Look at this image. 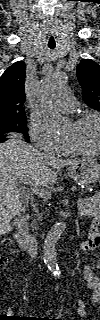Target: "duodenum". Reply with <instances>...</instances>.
Masks as SVG:
<instances>
[{
  "label": "duodenum",
  "mask_w": 100,
  "mask_h": 320,
  "mask_svg": "<svg viewBox=\"0 0 100 320\" xmlns=\"http://www.w3.org/2000/svg\"><path fill=\"white\" fill-rule=\"evenodd\" d=\"M27 223L28 219L24 215L15 220V239L23 250L28 253H33L38 246V242L35 236L29 232Z\"/></svg>",
  "instance_id": "obj_1"
}]
</instances>
